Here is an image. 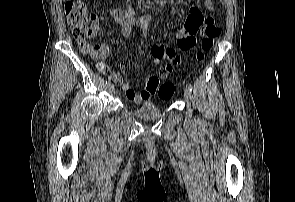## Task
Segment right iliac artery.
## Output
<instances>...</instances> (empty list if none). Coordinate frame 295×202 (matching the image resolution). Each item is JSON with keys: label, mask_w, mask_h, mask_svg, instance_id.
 <instances>
[{"label": "right iliac artery", "mask_w": 295, "mask_h": 202, "mask_svg": "<svg viewBox=\"0 0 295 202\" xmlns=\"http://www.w3.org/2000/svg\"><path fill=\"white\" fill-rule=\"evenodd\" d=\"M111 84V81H110V79H108L107 81H106V85H110Z\"/></svg>", "instance_id": "1"}]
</instances>
